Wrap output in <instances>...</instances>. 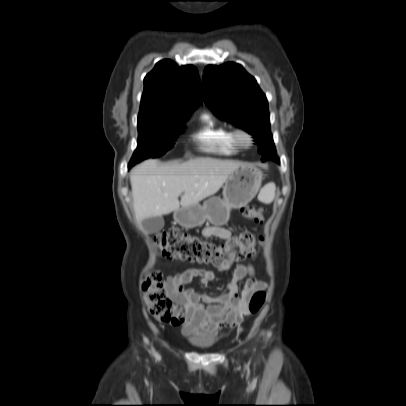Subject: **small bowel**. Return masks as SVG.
Returning a JSON list of instances; mask_svg holds the SVG:
<instances>
[{"label":"small bowel","mask_w":406,"mask_h":406,"mask_svg":"<svg viewBox=\"0 0 406 406\" xmlns=\"http://www.w3.org/2000/svg\"><path fill=\"white\" fill-rule=\"evenodd\" d=\"M203 235L228 240L232 237V232L227 228L208 227L204 229ZM231 265L220 267L219 270L226 271ZM196 277L199 278L200 286L214 280H223L227 284V292L217 296L199 293L189 287ZM245 277L248 279L240 292L237 283ZM266 287L264 281L255 278L251 264H237L232 274L226 277H220L211 270L190 268L168 276L164 283L167 298L174 305L172 324L182 326L185 334L206 338L223 327L239 324L241 315L247 311L251 296Z\"/></svg>","instance_id":"small-bowel-1"}]
</instances>
